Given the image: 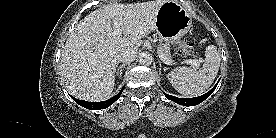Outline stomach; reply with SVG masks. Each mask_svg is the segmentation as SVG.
<instances>
[{"label":"stomach","instance_id":"0dacf381","mask_svg":"<svg viewBox=\"0 0 276 138\" xmlns=\"http://www.w3.org/2000/svg\"><path fill=\"white\" fill-rule=\"evenodd\" d=\"M192 18L180 4L165 1L156 16L155 30L159 37L169 43H177L191 28Z\"/></svg>","mask_w":276,"mask_h":138}]
</instances>
